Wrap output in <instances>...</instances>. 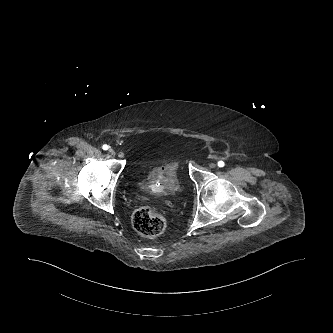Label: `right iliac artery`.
Returning a JSON list of instances; mask_svg holds the SVG:
<instances>
[{"mask_svg":"<svg viewBox=\"0 0 333 333\" xmlns=\"http://www.w3.org/2000/svg\"><path fill=\"white\" fill-rule=\"evenodd\" d=\"M108 148H109V146H108L107 144H104V145L102 146V149H103V150H108Z\"/></svg>","mask_w":333,"mask_h":333,"instance_id":"right-iliac-artery-1","label":"right iliac artery"}]
</instances>
